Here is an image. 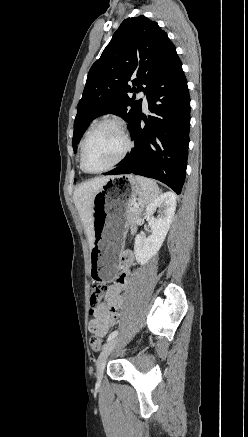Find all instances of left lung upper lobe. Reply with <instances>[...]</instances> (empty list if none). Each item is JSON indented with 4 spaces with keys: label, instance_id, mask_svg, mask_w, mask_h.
<instances>
[{
    "label": "left lung upper lobe",
    "instance_id": "1",
    "mask_svg": "<svg viewBox=\"0 0 248 437\" xmlns=\"http://www.w3.org/2000/svg\"><path fill=\"white\" fill-rule=\"evenodd\" d=\"M177 57L175 46L156 22L143 15L125 19L89 70L74 122V152L87 125L100 115H119L131 131L141 112V100L134 101L131 93H147Z\"/></svg>",
    "mask_w": 248,
    "mask_h": 437
}]
</instances>
